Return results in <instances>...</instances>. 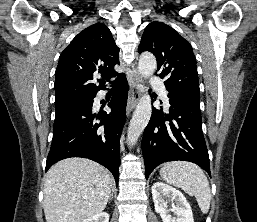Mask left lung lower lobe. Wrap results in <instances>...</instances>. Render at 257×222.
<instances>
[{"mask_svg":"<svg viewBox=\"0 0 257 222\" xmlns=\"http://www.w3.org/2000/svg\"><path fill=\"white\" fill-rule=\"evenodd\" d=\"M167 96L171 105L169 114L164 117L163 111L153 108L143 133L146 179L159 164L175 160L193 162L210 175L200 101L171 91H168Z\"/></svg>","mask_w":257,"mask_h":222,"instance_id":"obj_1","label":"left lung lower lobe"}]
</instances>
